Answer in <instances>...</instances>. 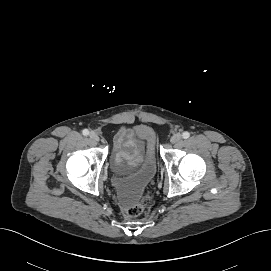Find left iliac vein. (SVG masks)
<instances>
[{"label": "left iliac vein", "mask_w": 271, "mask_h": 271, "mask_svg": "<svg viewBox=\"0 0 271 271\" xmlns=\"http://www.w3.org/2000/svg\"><path fill=\"white\" fill-rule=\"evenodd\" d=\"M181 138H182V137H181V134H180V133H176V134H174V135L171 137L170 141H171V143L175 144V143L180 142Z\"/></svg>", "instance_id": "4c4485c4"}]
</instances>
